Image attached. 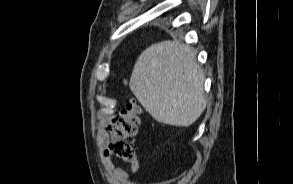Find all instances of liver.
<instances>
[{
	"instance_id": "1",
	"label": "liver",
	"mask_w": 293,
	"mask_h": 184,
	"mask_svg": "<svg viewBox=\"0 0 293 184\" xmlns=\"http://www.w3.org/2000/svg\"><path fill=\"white\" fill-rule=\"evenodd\" d=\"M204 74L195 52L180 41H162L138 57L129 87L159 123L187 127L206 108Z\"/></svg>"
}]
</instances>
